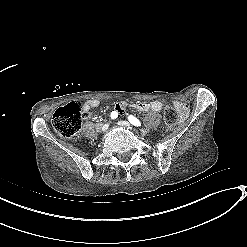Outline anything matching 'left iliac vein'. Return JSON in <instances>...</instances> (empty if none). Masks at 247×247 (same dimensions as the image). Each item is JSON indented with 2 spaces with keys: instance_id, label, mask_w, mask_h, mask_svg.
Here are the masks:
<instances>
[{
  "instance_id": "1",
  "label": "left iliac vein",
  "mask_w": 247,
  "mask_h": 247,
  "mask_svg": "<svg viewBox=\"0 0 247 247\" xmlns=\"http://www.w3.org/2000/svg\"><path fill=\"white\" fill-rule=\"evenodd\" d=\"M118 125L124 126V127H130L129 122L127 121H118Z\"/></svg>"
}]
</instances>
